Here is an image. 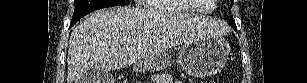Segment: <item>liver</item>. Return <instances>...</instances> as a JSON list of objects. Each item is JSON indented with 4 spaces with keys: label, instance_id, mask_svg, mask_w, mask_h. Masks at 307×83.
<instances>
[{
    "label": "liver",
    "instance_id": "liver-1",
    "mask_svg": "<svg viewBox=\"0 0 307 83\" xmlns=\"http://www.w3.org/2000/svg\"><path fill=\"white\" fill-rule=\"evenodd\" d=\"M222 24L202 16L159 14L129 8L91 13L71 33L67 83L91 69L109 72L197 38L219 37Z\"/></svg>",
    "mask_w": 307,
    "mask_h": 83
}]
</instances>
